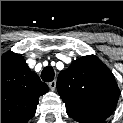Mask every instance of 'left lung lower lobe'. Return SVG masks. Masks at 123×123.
Wrapping results in <instances>:
<instances>
[{
	"label": "left lung lower lobe",
	"mask_w": 123,
	"mask_h": 123,
	"mask_svg": "<svg viewBox=\"0 0 123 123\" xmlns=\"http://www.w3.org/2000/svg\"><path fill=\"white\" fill-rule=\"evenodd\" d=\"M79 123H96V122H93V121H89V120H79L78 121Z\"/></svg>",
	"instance_id": "left-lung-lower-lobe-1"
}]
</instances>
